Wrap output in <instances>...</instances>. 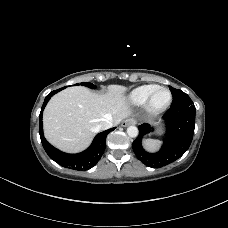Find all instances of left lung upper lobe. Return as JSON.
Masks as SVG:
<instances>
[{"instance_id":"left-lung-upper-lobe-1","label":"left lung upper lobe","mask_w":228,"mask_h":228,"mask_svg":"<svg viewBox=\"0 0 228 228\" xmlns=\"http://www.w3.org/2000/svg\"><path fill=\"white\" fill-rule=\"evenodd\" d=\"M169 89H170V91H171V93H172V96L174 97V98H181L182 96H187V94L186 93H184L183 91H181V90H179V89H175V88H173V87H169Z\"/></svg>"}]
</instances>
